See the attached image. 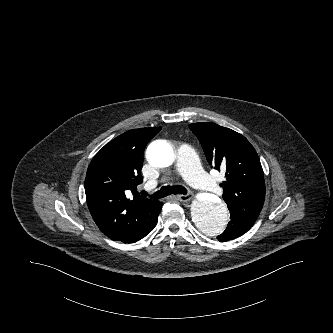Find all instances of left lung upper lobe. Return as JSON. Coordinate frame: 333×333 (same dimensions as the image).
Masks as SVG:
<instances>
[{
    "label": "left lung upper lobe",
    "instance_id": "1",
    "mask_svg": "<svg viewBox=\"0 0 333 333\" xmlns=\"http://www.w3.org/2000/svg\"><path fill=\"white\" fill-rule=\"evenodd\" d=\"M209 164L224 171L223 199L229 210L257 218L265 200L263 169L254 147L241 134L215 123H193Z\"/></svg>",
    "mask_w": 333,
    "mask_h": 333
}]
</instances>
